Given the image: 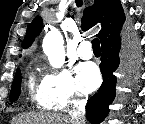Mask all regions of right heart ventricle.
I'll list each match as a JSON object with an SVG mask.
<instances>
[{"mask_svg": "<svg viewBox=\"0 0 145 124\" xmlns=\"http://www.w3.org/2000/svg\"><path fill=\"white\" fill-rule=\"evenodd\" d=\"M28 94L30 100L38 107L48 110L55 109V107L46 99L42 87L36 85L32 77H30L28 81Z\"/></svg>", "mask_w": 145, "mask_h": 124, "instance_id": "e07e8e85", "label": "right heart ventricle"}]
</instances>
